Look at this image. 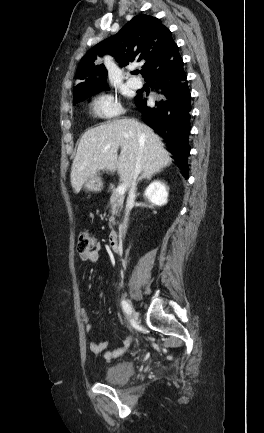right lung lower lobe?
Wrapping results in <instances>:
<instances>
[{"instance_id":"obj_1","label":"right lung lower lobe","mask_w":264,"mask_h":433,"mask_svg":"<svg viewBox=\"0 0 264 433\" xmlns=\"http://www.w3.org/2000/svg\"><path fill=\"white\" fill-rule=\"evenodd\" d=\"M144 78L157 96L154 105L149 106L147 99L138 94L134 98L137 109L143 121L162 136L181 173L188 179L191 95L180 55L148 72Z\"/></svg>"}]
</instances>
